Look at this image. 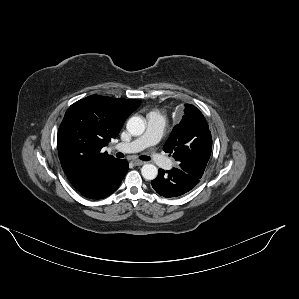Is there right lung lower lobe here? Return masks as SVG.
<instances>
[{"label": "right lung lower lobe", "mask_w": 299, "mask_h": 299, "mask_svg": "<svg viewBox=\"0 0 299 299\" xmlns=\"http://www.w3.org/2000/svg\"><path fill=\"white\" fill-rule=\"evenodd\" d=\"M127 171L128 162L118 159L106 167L94 187L81 193L91 199L105 198L118 188Z\"/></svg>", "instance_id": "right-lung-lower-lobe-1"}]
</instances>
